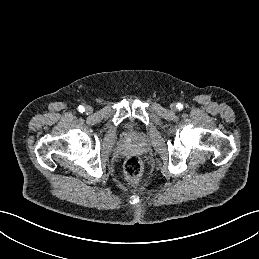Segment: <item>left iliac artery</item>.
<instances>
[{
  "instance_id": "obj_1",
  "label": "left iliac artery",
  "mask_w": 259,
  "mask_h": 259,
  "mask_svg": "<svg viewBox=\"0 0 259 259\" xmlns=\"http://www.w3.org/2000/svg\"><path fill=\"white\" fill-rule=\"evenodd\" d=\"M177 107H178V108H182V105H181V103H179V104L177 105Z\"/></svg>"
}]
</instances>
